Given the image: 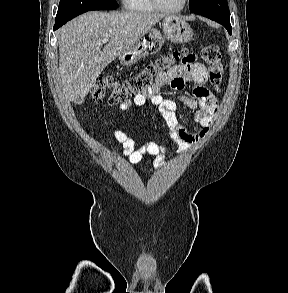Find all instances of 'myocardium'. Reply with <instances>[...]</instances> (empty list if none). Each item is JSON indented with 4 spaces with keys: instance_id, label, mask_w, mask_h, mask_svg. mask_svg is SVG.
<instances>
[{
    "instance_id": "myocardium-1",
    "label": "myocardium",
    "mask_w": 288,
    "mask_h": 293,
    "mask_svg": "<svg viewBox=\"0 0 288 293\" xmlns=\"http://www.w3.org/2000/svg\"><path fill=\"white\" fill-rule=\"evenodd\" d=\"M151 2L157 10H160V11L166 12V13H178V12L182 11L187 4V0H182L181 4L178 7L168 8V7L163 6L159 0H151Z\"/></svg>"
}]
</instances>
